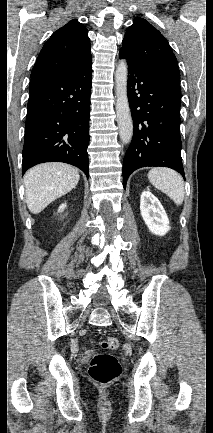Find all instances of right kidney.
Masks as SVG:
<instances>
[{
  "label": "right kidney",
  "instance_id": "ca27d5eb",
  "mask_svg": "<svg viewBox=\"0 0 213 433\" xmlns=\"http://www.w3.org/2000/svg\"><path fill=\"white\" fill-rule=\"evenodd\" d=\"M65 207H66V204H62V205L59 207V211H63Z\"/></svg>",
  "mask_w": 213,
  "mask_h": 433
}]
</instances>
